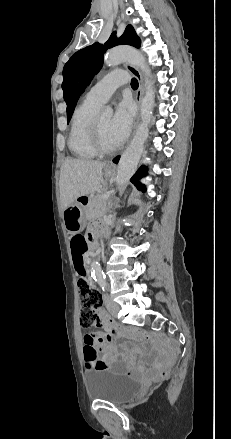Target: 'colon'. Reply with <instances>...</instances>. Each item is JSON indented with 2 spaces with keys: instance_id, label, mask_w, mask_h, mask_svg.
Masks as SVG:
<instances>
[{
  "instance_id": "5ec220e1",
  "label": "colon",
  "mask_w": 231,
  "mask_h": 439,
  "mask_svg": "<svg viewBox=\"0 0 231 439\" xmlns=\"http://www.w3.org/2000/svg\"><path fill=\"white\" fill-rule=\"evenodd\" d=\"M73 242L76 246V252L78 250V245L81 242L83 249L86 248L85 240L81 238H74ZM80 271V276L77 279V289L80 297V322L83 327L90 328L93 326L96 320V312L100 307L101 298L96 289L91 286L90 281L85 273V268L82 265L78 266ZM111 332L117 334H129L133 333L138 338L143 341L156 346L157 348L163 350L164 352L169 354L168 359L166 360L165 366L160 373V378L165 379L168 374L170 367L172 366L175 358V349L171 346V344L164 340L160 339L146 331H142L139 329L130 330L128 328H124L119 325H111ZM94 359L93 352L86 353V366L91 367ZM106 364L100 361L96 362L95 368L104 369Z\"/></svg>"
}]
</instances>
